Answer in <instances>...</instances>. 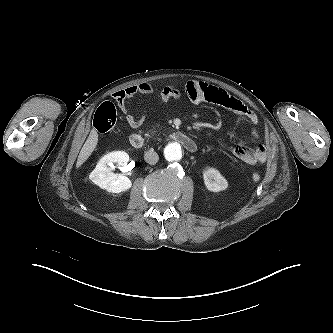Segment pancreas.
Returning a JSON list of instances; mask_svg holds the SVG:
<instances>
[{"label": "pancreas", "mask_w": 333, "mask_h": 333, "mask_svg": "<svg viewBox=\"0 0 333 333\" xmlns=\"http://www.w3.org/2000/svg\"><path fill=\"white\" fill-rule=\"evenodd\" d=\"M152 133H153V135H154V134H155V131H153Z\"/></svg>", "instance_id": "pancreas-1"}]
</instances>
